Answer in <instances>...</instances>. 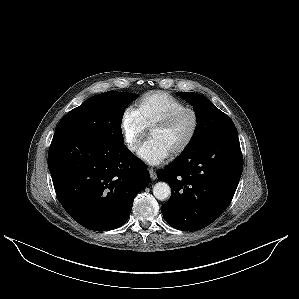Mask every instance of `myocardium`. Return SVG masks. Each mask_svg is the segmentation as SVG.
<instances>
[{
    "label": "myocardium",
    "mask_w": 299,
    "mask_h": 299,
    "mask_svg": "<svg viewBox=\"0 0 299 299\" xmlns=\"http://www.w3.org/2000/svg\"><path fill=\"white\" fill-rule=\"evenodd\" d=\"M186 115H190L192 117L193 126H192L189 136L184 141V143L171 153L172 157H178V156L184 154L190 148L192 143L194 142V140L197 136L199 127H200V117H199V114L197 113V111L192 108L182 109V110L175 112V113L165 117L164 119L156 122L150 129V133H151L155 129L169 128L170 126L175 124L177 121H179L181 118H183Z\"/></svg>",
    "instance_id": "obj_1"
}]
</instances>
